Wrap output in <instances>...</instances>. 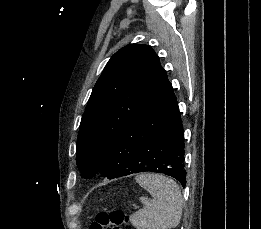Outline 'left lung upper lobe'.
I'll return each instance as SVG.
<instances>
[{"mask_svg": "<svg viewBox=\"0 0 261 229\" xmlns=\"http://www.w3.org/2000/svg\"><path fill=\"white\" fill-rule=\"evenodd\" d=\"M167 81L150 46L129 44L111 57L94 86L79 127L76 162L83 178L99 172L118 136Z\"/></svg>", "mask_w": 261, "mask_h": 229, "instance_id": "5c2ea615", "label": "left lung upper lobe"}]
</instances>
